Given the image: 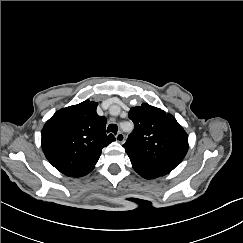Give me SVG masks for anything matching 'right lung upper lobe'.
Listing matches in <instances>:
<instances>
[{"instance_id":"right-lung-upper-lobe-1","label":"right lung upper lobe","mask_w":243,"mask_h":243,"mask_svg":"<svg viewBox=\"0 0 243 243\" xmlns=\"http://www.w3.org/2000/svg\"><path fill=\"white\" fill-rule=\"evenodd\" d=\"M97 103L83 101L63 108L46 122L42 149L48 161L66 176L82 177L91 172L102 148L115 138L106 135V118L96 113Z\"/></svg>"}]
</instances>
